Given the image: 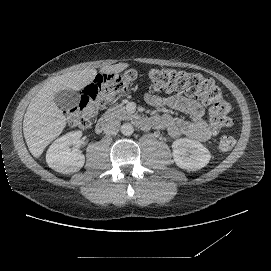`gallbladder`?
Here are the masks:
<instances>
[{
  "label": "gallbladder",
  "instance_id": "obj_1",
  "mask_svg": "<svg viewBox=\"0 0 271 271\" xmlns=\"http://www.w3.org/2000/svg\"><path fill=\"white\" fill-rule=\"evenodd\" d=\"M79 96L76 92L63 90L56 94L55 103L61 109H71L78 105Z\"/></svg>",
  "mask_w": 271,
  "mask_h": 271
}]
</instances>
